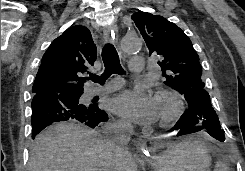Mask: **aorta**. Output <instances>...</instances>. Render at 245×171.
Here are the masks:
<instances>
[{
  "label": "aorta",
  "mask_w": 245,
  "mask_h": 171,
  "mask_svg": "<svg viewBox=\"0 0 245 171\" xmlns=\"http://www.w3.org/2000/svg\"><path fill=\"white\" fill-rule=\"evenodd\" d=\"M142 41L138 36H125L121 40V49L124 53L131 54L141 50Z\"/></svg>",
  "instance_id": "aorta-1"
}]
</instances>
